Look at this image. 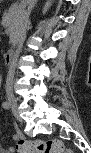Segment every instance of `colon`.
<instances>
[{
	"mask_svg": "<svg viewBox=\"0 0 91 153\" xmlns=\"http://www.w3.org/2000/svg\"><path fill=\"white\" fill-rule=\"evenodd\" d=\"M18 153H70L60 140H24L18 139L15 145Z\"/></svg>",
	"mask_w": 91,
	"mask_h": 153,
	"instance_id": "colon-1",
	"label": "colon"
}]
</instances>
